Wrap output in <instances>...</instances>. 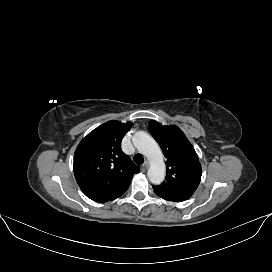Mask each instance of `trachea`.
<instances>
[{"instance_id": "trachea-1", "label": "trachea", "mask_w": 272, "mask_h": 272, "mask_svg": "<svg viewBox=\"0 0 272 272\" xmlns=\"http://www.w3.org/2000/svg\"><path fill=\"white\" fill-rule=\"evenodd\" d=\"M133 159L136 164L144 163V158L141 154H135Z\"/></svg>"}]
</instances>
